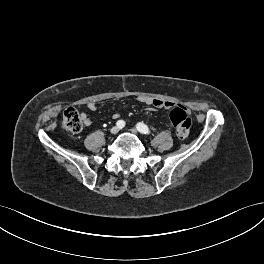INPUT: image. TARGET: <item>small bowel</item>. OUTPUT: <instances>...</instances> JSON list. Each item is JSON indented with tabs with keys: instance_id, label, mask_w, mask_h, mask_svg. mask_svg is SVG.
<instances>
[{
	"instance_id": "c3829d8e",
	"label": "small bowel",
	"mask_w": 264,
	"mask_h": 264,
	"mask_svg": "<svg viewBox=\"0 0 264 264\" xmlns=\"http://www.w3.org/2000/svg\"><path fill=\"white\" fill-rule=\"evenodd\" d=\"M139 100H140V102H142L146 105H149V106H153L154 108L170 109V108L175 106V103H173L171 101L153 99V98H149V97H142ZM87 107L90 111H95L97 109V105L93 102L89 103L87 105ZM118 117H119L118 114L113 115V118H118ZM82 119H83V122L86 126L91 125V120L85 114H82Z\"/></svg>"
}]
</instances>
